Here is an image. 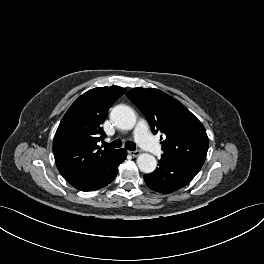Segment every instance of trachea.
I'll use <instances>...</instances> for the list:
<instances>
[{"label": "trachea", "instance_id": "1", "mask_svg": "<svg viewBox=\"0 0 264 264\" xmlns=\"http://www.w3.org/2000/svg\"><path fill=\"white\" fill-rule=\"evenodd\" d=\"M104 146L106 147H113V148H120L122 146V142L121 140H115L111 143H106L104 142ZM125 148L128 149V150H131V151H135L136 150V145L131 142V141H128L125 143Z\"/></svg>", "mask_w": 264, "mask_h": 264}]
</instances>
